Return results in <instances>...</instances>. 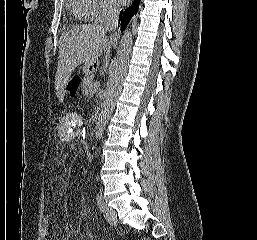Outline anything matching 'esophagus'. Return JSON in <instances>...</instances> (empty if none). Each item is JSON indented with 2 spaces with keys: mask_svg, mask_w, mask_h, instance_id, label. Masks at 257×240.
I'll return each instance as SVG.
<instances>
[{
  "mask_svg": "<svg viewBox=\"0 0 257 240\" xmlns=\"http://www.w3.org/2000/svg\"><path fill=\"white\" fill-rule=\"evenodd\" d=\"M119 36H120V32H119V31H116V32L110 37V42H111V43L117 42L118 39H119Z\"/></svg>",
  "mask_w": 257,
  "mask_h": 240,
  "instance_id": "esophagus-1",
  "label": "esophagus"
}]
</instances>
